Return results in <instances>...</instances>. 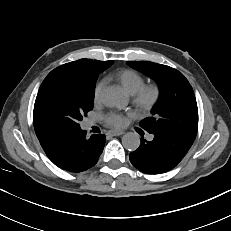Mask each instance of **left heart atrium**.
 Here are the masks:
<instances>
[{
  "instance_id": "left-heart-atrium-1",
  "label": "left heart atrium",
  "mask_w": 231,
  "mask_h": 231,
  "mask_svg": "<svg viewBox=\"0 0 231 231\" xmlns=\"http://www.w3.org/2000/svg\"><path fill=\"white\" fill-rule=\"evenodd\" d=\"M105 121L114 128H122L127 124L128 116L122 113L112 112L105 117Z\"/></svg>"
}]
</instances>
